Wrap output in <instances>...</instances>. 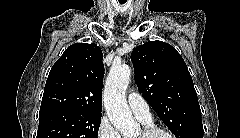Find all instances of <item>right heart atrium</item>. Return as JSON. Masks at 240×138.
Returning <instances> with one entry per match:
<instances>
[{"mask_svg": "<svg viewBox=\"0 0 240 138\" xmlns=\"http://www.w3.org/2000/svg\"><path fill=\"white\" fill-rule=\"evenodd\" d=\"M97 138H122L119 131L112 125L107 117H103L97 128Z\"/></svg>", "mask_w": 240, "mask_h": 138, "instance_id": "d8ad5b80", "label": "right heart atrium"}]
</instances>
